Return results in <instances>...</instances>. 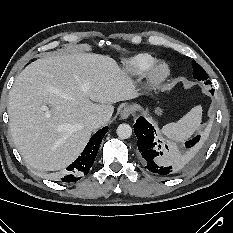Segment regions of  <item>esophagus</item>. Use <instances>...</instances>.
<instances>
[{
  "label": "esophagus",
  "instance_id": "obj_1",
  "mask_svg": "<svg viewBox=\"0 0 233 233\" xmlns=\"http://www.w3.org/2000/svg\"><path fill=\"white\" fill-rule=\"evenodd\" d=\"M132 111H133L132 107L130 106L124 107L120 113L121 119H127L132 114Z\"/></svg>",
  "mask_w": 233,
  "mask_h": 233
}]
</instances>
